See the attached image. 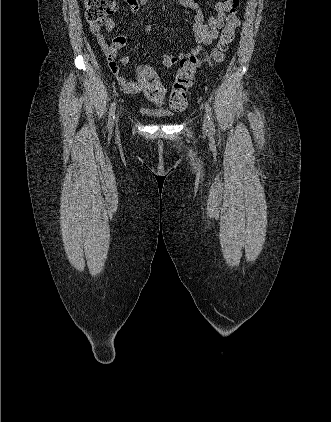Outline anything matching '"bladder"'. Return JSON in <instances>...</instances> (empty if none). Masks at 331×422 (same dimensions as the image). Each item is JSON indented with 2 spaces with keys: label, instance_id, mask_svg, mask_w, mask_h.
Here are the masks:
<instances>
[{
  "label": "bladder",
  "instance_id": "bladder-1",
  "mask_svg": "<svg viewBox=\"0 0 331 422\" xmlns=\"http://www.w3.org/2000/svg\"><path fill=\"white\" fill-rule=\"evenodd\" d=\"M145 113L150 114L154 117H159V118H167L171 116L169 113L164 112V111H145Z\"/></svg>",
  "mask_w": 331,
  "mask_h": 422
}]
</instances>
